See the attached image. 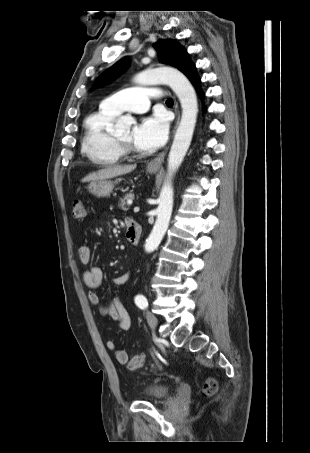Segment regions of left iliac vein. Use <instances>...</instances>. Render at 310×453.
Masks as SVG:
<instances>
[{"label":"left iliac vein","mask_w":310,"mask_h":453,"mask_svg":"<svg viewBox=\"0 0 310 453\" xmlns=\"http://www.w3.org/2000/svg\"><path fill=\"white\" fill-rule=\"evenodd\" d=\"M146 318H147V322L151 328H155L157 326L158 320L152 312L147 311Z\"/></svg>","instance_id":"obj_1"}]
</instances>
